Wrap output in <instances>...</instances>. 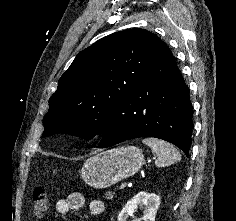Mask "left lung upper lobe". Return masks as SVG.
I'll use <instances>...</instances> for the list:
<instances>
[{
	"label": "left lung upper lobe",
	"mask_w": 236,
	"mask_h": 221,
	"mask_svg": "<svg viewBox=\"0 0 236 221\" xmlns=\"http://www.w3.org/2000/svg\"><path fill=\"white\" fill-rule=\"evenodd\" d=\"M165 47L156 35L134 28L81 51L49 99L42 137L63 132L90 139L103 133L115 110Z\"/></svg>",
	"instance_id": "1"
}]
</instances>
